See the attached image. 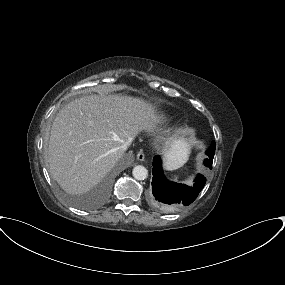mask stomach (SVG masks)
I'll use <instances>...</instances> for the list:
<instances>
[{
	"label": "stomach",
	"mask_w": 285,
	"mask_h": 285,
	"mask_svg": "<svg viewBox=\"0 0 285 285\" xmlns=\"http://www.w3.org/2000/svg\"><path fill=\"white\" fill-rule=\"evenodd\" d=\"M185 155L179 158H167L166 166L168 169H176L180 167L186 160H187V154L188 149L185 148L184 150Z\"/></svg>",
	"instance_id": "1"
}]
</instances>
